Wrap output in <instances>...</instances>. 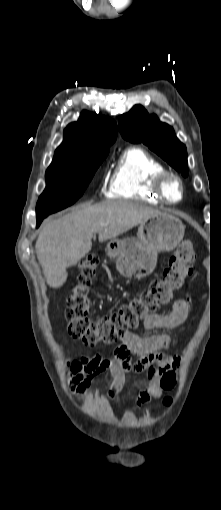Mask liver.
Wrapping results in <instances>:
<instances>
[{"mask_svg":"<svg viewBox=\"0 0 221 510\" xmlns=\"http://www.w3.org/2000/svg\"><path fill=\"white\" fill-rule=\"evenodd\" d=\"M159 210L125 200H107L83 205L46 223L35 244L37 259L47 284L60 288L67 280V268L76 265L92 248V238L100 242L116 238Z\"/></svg>","mask_w":221,"mask_h":510,"instance_id":"6515ba94","label":"liver"}]
</instances>
